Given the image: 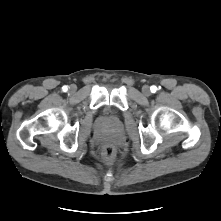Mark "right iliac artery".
I'll use <instances>...</instances> for the list:
<instances>
[{
  "mask_svg": "<svg viewBox=\"0 0 221 221\" xmlns=\"http://www.w3.org/2000/svg\"><path fill=\"white\" fill-rule=\"evenodd\" d=\"M62 90H63L64 92H66V91L68 90V87H67V86H63V87H62Z\"/></svg>",
  "mask_w": 221,
  "mask_h": 221,
  "instance_id": "right-iliac-artery-1",
  "label": "right iliac artery"
}]
</instances>
